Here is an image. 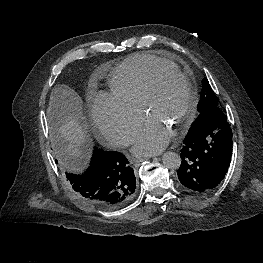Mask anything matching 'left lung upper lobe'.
Wrapping results in <instances>:
<instances>
[{
	"label": "left lung upper lobe",
	"mask_w": 263,
	"mask_h": 263,
	"mask_svg": "<svg viewBox=\"0 0 263 263\" xmlns=\"http://www.w3.org/2000/svg\"><path fill=\"white\" fill-rule=\"evenodd\" d=\"M218 109L221 110L219 105V99L213 92L208 80L204 78L202 80V91L200 93V101L197 106L199 115L196 118V120L192 123L188 132L196 131L201 125V123Z\"/></svg>",
	"instance_id": "left-lung-upper-lobe-1"
}]
</instances>
